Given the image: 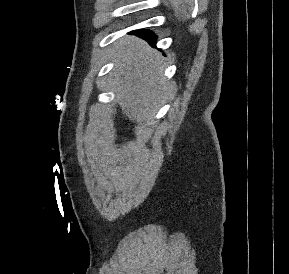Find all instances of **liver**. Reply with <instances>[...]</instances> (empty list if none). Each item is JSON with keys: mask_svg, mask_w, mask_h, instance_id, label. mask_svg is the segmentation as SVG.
I'll list each match as a JSON object with an SVG mask.
<instances>
[{"mask_svg": "<svg viewBox=\"0 0 289 274\" xmlns=\"http://www.w3.org/2000/svg\"><path fill=\"white\" fill-rule=\"evenodd\" d=\"M116 100L131 121L145 119L165 102L174 87L164 76L162 55L142 39L126 36L112 46Z\"/></svg>", "mask_w": 289, "mask_h": 274, "instance_id": "1", "label": "liver"}]
</instances>
